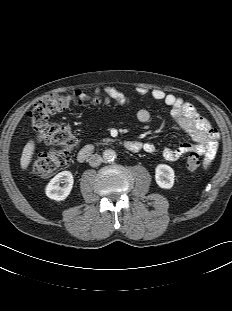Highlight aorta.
I'll use <instances>...</instances> for the list:
<instances>
[{
    "instance_id": "1",
    "label": "aorta",
    "mask_w": 232,
    "mask_h": 311,
    "mask_svg": "<svg viewBox=\"0 0 232 311\" xmlns=\"http://www.w3.org/2000/svg\"><path fill=\"white\" fill-rule=\"evenodd\" d=\"M117 154L112 149H106L103 152V159L105 162L112 163L116 160Z\"/></svg>"
}]
</instances>
